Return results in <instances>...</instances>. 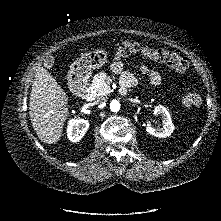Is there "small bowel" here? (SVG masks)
Returning a JSON list of instances; mask_svg holds the SVG:
<instances>
[{
    "label": "small bowel",
    "mask_w": 221,
    "mask_h": 221,
    "mask_svg": "<svg viewBox=\"0 0 221 221\" xmlns=\"http://www.w3.org/2000/svg\"><path fill=\"white\" fill-rule=\"evenodd\" d=\"M111 69L113 70V72L121 75L120 84L126 89L128 87L134 86L137 83V80L133 76V74L124 69V64L120 60H118V58H116V61L112 63ZM139 70L143 75L148 77L152 85L157 86L161 83V76L156 70L150 68L147 65H140Z\"/></svg>",
    "instance_id": "obj_1"
}]
</instances>
